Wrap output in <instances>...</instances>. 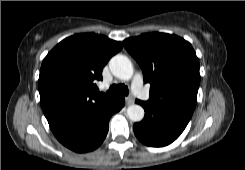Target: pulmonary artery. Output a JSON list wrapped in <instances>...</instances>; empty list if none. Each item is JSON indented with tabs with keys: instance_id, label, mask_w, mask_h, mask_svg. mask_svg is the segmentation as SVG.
<instances>
[{
	"instance_id": "e3ab8cb5",
	"label": "pulmonary artery",
	"mask_w": 245,
	"mask_h": 170,
	"mask_svg": "<svg viewBox=\"0 0 245 170\" xmlns=\"http://www.w3.org/2000/svg\"><path fill=\"white\" fill-rule=\"evenodd\" d=\"M132 90L141 99H145V90L143 87V79L140 75H136L132 80Z\"/></svg>"
}]
</instances>
